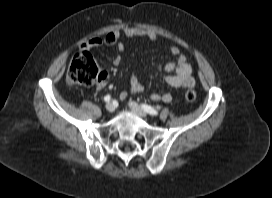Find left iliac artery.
<instances>
[{
	"label": "left iliac artery",
	"instance_id": "left-iliac-artery-1",
	"mask_svg": "<svg viewBox=\"0 0 272 198\" xmlns=\"http://www.w3.org/2000/svg\"><path fill=\"white\" fill-rule=\"evenodd\" d=\"M142 108L144 109V111H146L150 115H158V111L154 109L153 107H151L150 105L142 104Z\"/></svg>",
	"mask_w": 272,
	"mask_h": 198
}]
</instances>
